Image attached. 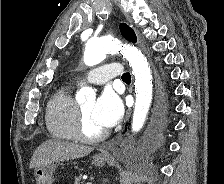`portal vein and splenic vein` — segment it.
<instances>
[{"mask_svg":"<svg viewBox=\"0 0 224 184\" xmlns=\"http://www.w3.org/2000/svg\"><path fill=\"white\" fill-rule=\"evenodd\" d=\"M86 184H92L91 182H87Z\"/></svg>","mask_w":224,"mask_h":184,"instance_id":"1","label":"portal vein and splenic vein"}]
</instances>
